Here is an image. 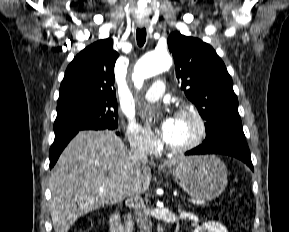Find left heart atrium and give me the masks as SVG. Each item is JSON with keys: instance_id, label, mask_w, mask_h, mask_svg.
<instances>
[{"instance_id": "1", "label": "left heart atrium", "mask_w": 289, "mask_h": 232, "mask_svg": "<svg viewBox=\"0 0 289 232\" xmlns=\"http://www.w3.org/2000/svg\"><path fill=\"white\" fill-rule=\"evenodd\" d=\"M146 122L150 126H154L162 138L166 143H170L175 130V117L171 115H162L160 117L147 116Z\"/></svg>"}]
</instances>
